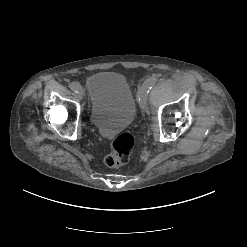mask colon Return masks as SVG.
<instances>
[{"mask_svg":"<svg viewBox=\"0 0 247 247\" xmlns=\"http://www.w3.org/2000/svg\"><path fill=\"white\" fill-rule=\"evenodd\" d=\"M135 144L134 137L131 133L124 132L119 134L110 145V152L106 155L104 161L108 167L117 168L130 158Z\"/></svg>","mask_w":247,"mask_h":247,"instance_id":"5ec220e1","label":"colon"}]
</instances>
